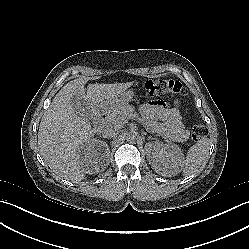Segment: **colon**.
Instances as JSON below:
<instances>
[{"label":"colon","instance_id":"1","mask_svg":"<svg viewBox=\"0 0 249 249\" xmlns=\"http://www.w3.org/2000/svg\"><path fill=\"white\" fill-rule=\"evenodd\" d=\"M145 88L151 93L160 95H167L169 98L182 99L186 95V89L184 86L173 80L158 79L156 81H148L145 84ZM203 131L200 127L193 129V138H200Z\"/></svg>","mask_w":249,"mask_h":249}]
</instances>
